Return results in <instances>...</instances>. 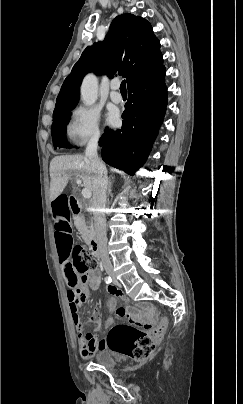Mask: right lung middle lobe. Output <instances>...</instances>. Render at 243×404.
Wrapping results in <instances>:
<instances>
[{"mask_svg": "<svg viewBox=\"0 0 243 404\" xmlns=\"http://www.w3.org/2000/svg\"><path fill=\"white\" fill-rule=\"evenodd\" d=\"M73 109L74 107L64 109L53 114V124L51 132H52L53 145L55 149L57 147L62 148L69 147V144L66 142L65 134H66V125L68 123L71 111Z\"/></svg>", "mask_w": 243, "mask_h": 404, "instance_id": "right-lung-middle-lobe-1", "label": "right lung middle lobe"}]
</instances>
